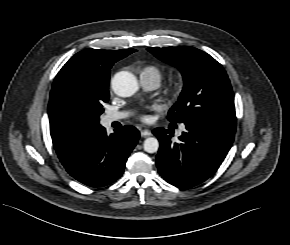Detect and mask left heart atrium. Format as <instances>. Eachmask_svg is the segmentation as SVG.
Returning a JSON list of instances; mask_svg holds the SVG:
<instances>
[{"instance_id": "left-heart-atrium-1", "label": "left heart atrium", "mask_w": 290, "mask_h": 245, "mask_svg": "<svg viewBox=\"0 0 290 245\" xmlns=\"http://www.w3.org/2000/svg\"><path fill=\"white\" fill-rule=\"evenodd\" d=\"M142 119H144V120H145V119H146V117H145V116H142Z\"/></svg>"}]
</instances>
